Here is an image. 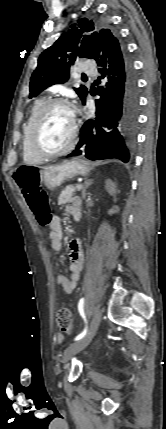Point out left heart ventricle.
Returning a JSON list of instances; mask_svg holds the SVG:
<instances>
[{
    "instance_id": "1",
    "label": "left heart ventricle",
    "mask_w": 166,
    "mask_h": 429,
    "mask_svg": "<svg viewBox=\"0 0 166 429\" xmlns=\"http://www.w3.org/2000/svg\"><path fill=\"white\" fill-rule=\"evenodd\" d=\"M72 120V112L67 106L52 107L41 122L37 134L38 146L47 152L63 148L70 138Z\"/></svg>"
}]
</instances>
